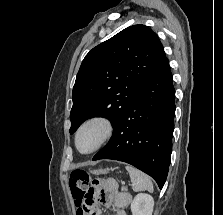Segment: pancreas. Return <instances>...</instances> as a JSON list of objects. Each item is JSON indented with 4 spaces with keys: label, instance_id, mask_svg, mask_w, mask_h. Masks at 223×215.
Returning a JSON list of instances; mask_svg holds the SVG:
<instances>
[{
    "label": "pancreas",
    "instance_id": "cf45deb5",
    "mask_svg": "<svg viewBox=\"0 0 223 215\" xmlns=\"http://www.w3.org/2000/svg\"><path fill=\"white\" fill-rule=\"evenodd\" d=\"M121 191H127V187H122Z\"/></svg>",
    "mask_w": 223,
    "mask_h": 215
}]
</instances>
